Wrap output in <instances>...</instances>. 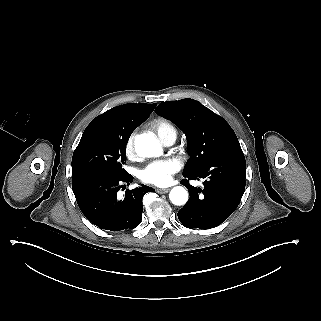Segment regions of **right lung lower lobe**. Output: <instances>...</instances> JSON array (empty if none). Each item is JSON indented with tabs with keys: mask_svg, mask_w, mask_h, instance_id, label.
Segmentation results:
<instances>
[{
	"mask_svg": "<svg viewBox=\"0 0 321 321\" xmlns=\"http://www.w3.org/2000/svg\"><path fill=\"white\" fill-rule=\"evenodd\" d=\"M132 179L128 173L114 175L98 169H72V189L80 210L92 224L110 231L137 227L142 220L143 196L155 192L141 185L127 190L123 200L117 199L119 185Z\"/></svg>",
	"mask_w": 321,
	"mask_h": 321,
	"instance_id": "1",
	"label": "right lung lower lobe"
}]
</instances>
